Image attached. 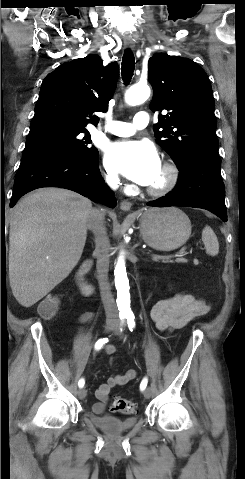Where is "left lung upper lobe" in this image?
<instances>
[{
	"label": "left lung upper lobe",
	"mask_w": 245,
	"mask_h": 479,
	"mask_svg": "<svg viewBox=\"0 0 245 479\" xmlns=\"http://www.w3.org/2000/svg\"><path fill=\"white\" fill-rule=\"evenodd\" d=\"M148 77L154 90L151 111H167L154 125L156 141L177 167L197 155L218 154L213 92L205 71L192 60L159 53L149 59Z\"/></svg>",
	"instance_id": "left-lung-upper-lobe-1"
}]
</instances>
